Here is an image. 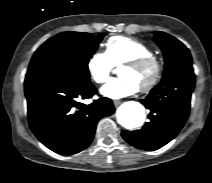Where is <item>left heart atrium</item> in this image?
<instances>
[{"label": "left heart atrium", "instance_id": "left-heart-atrium-1", "mask_svg": "<svg viewBox=\"0 0 212 183\" xmlns=\"http://www.w3.org/2000/svg\"><path fill=\"white\" fill-rule=\"evenodd\" d=\"M138 86L125 78L111 80L100 90L101 94L111 99H120L131 96L138 91Z\"/></svg>", "mask_w": 212, "mask_h": 183}]
</instances>
